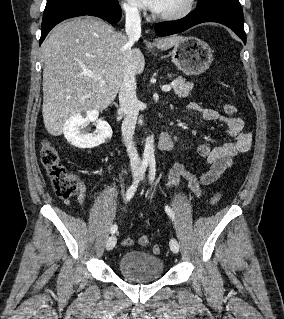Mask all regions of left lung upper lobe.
Segmentation results:
<instances>
[{"mask_svg": "<svg viewBox=\"0 0 284 319\" xmlns=\"http://www.w3.org/2000/svg\"><path fill=\"white\" fill-rule=\"evenodd\" d=\"M214 1H217V0H199L198 6H203V5L212 3V2H214Z\"/></svg>", "mask_w": 284, "mask_h": 319, "instance_id": "obj_1", "label": "left lung upper lobe"}]
</instances>
